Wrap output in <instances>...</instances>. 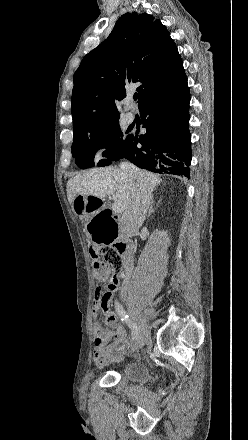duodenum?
Here are the masks:
<instances>
[{"mask_svg":"<svg viewBox=\"0 0 248 440\" xmlns=\"http://www.w3.org/2000/svg\"><path fill=\"white\" fill-rule=\"evenodd\" d=\"M115 246H116V249L123 256L125 263L127 264L129 261L130 254H131V248H130L128 242L125 239L119 237V240L115 241ZM122 275H123V273H121V276Z\"/></svg>","mask_w":248,"mask_h":440,"instance_id":"1","label":"duodenum"}]
</instances>
